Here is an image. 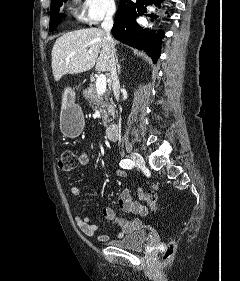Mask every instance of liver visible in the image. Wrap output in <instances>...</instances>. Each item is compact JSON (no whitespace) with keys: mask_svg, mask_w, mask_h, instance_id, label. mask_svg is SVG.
Returning <instances> with one entry per match:
<instances>
[{"mask_svg":"<svg viewBox=\"0 0 240 281\" xmlns=\"http://www.w3.org/2000/svg\"><path fill=\"white\" fill-rule=\"evenodd\" d=\"M114 41V46L118 41ZM52 72L55 81L66 74H78L92 69H111L110 44L105 31L99 28L80 29L59 37L52 48Z\"/></svg>","mask_w":240,"mask_h":281,"instance_id":"6515ba94","label":"liver"}]
</instances>
